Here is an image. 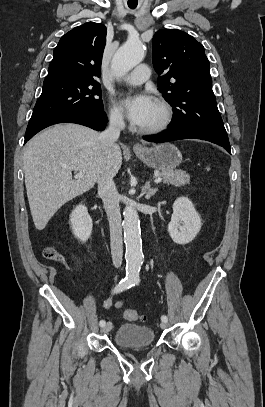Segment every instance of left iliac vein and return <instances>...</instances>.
<instances>
[{"instance_id":"obj_1","label":"left iliac vein","mask_w":265,"mask_h":407,"mask_svg":"<svg viewBox=\"0 0 265 407\" xmlns=\"http://www.w3.org/2000/svg\"><path fill=\"white\" fill-rule=\"evenodd\" d=\"M160 327H161L162 329H165V328L168 327V323L162 321L161 324H160Z\"/></svg>"}]
</instances>
